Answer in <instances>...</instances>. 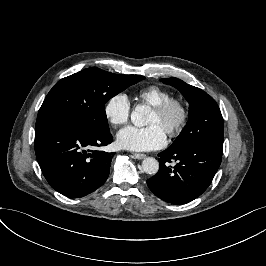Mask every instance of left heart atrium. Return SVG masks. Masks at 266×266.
<instances>
[{
    "mask_svg": "<svg viewBox=\"0 0 266 266\" xmlns=\"http://www.w3.org/2000/svg\"><path fill=\"white\" fill-rule=\"evenodd\" d=\"M117 140L123 148L148 151L158 149L166 143V132L158 124L127 126L118 132Z\"/></svg>",
    "mask_w": 266,
    "mask_h": 266,
    "instance_id": "left-heart-atrium-1",
    "label": "left heart atrium"
}]
</instances>
